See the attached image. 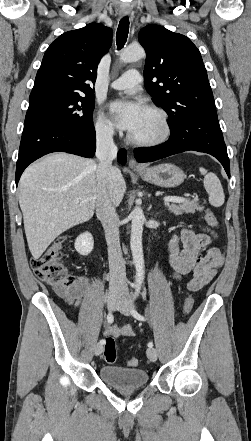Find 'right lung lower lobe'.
Instances as JSON below:
<instances>
[{"label":"right lung lower lobe","mask_w":251,"mask_h":441,"mask_svg":"<svg viewBox=\"0 0 251 441\" xmlns=\"http://www.w3.org/2000/svg\"><path fill=\"white\" fill-rule=\"evenodd\" d=\"M96 150L95 129L76 130L37 114H26L16 165V185L25 168L36 159L52 152H67L87 158ZM118 161L126 162V151L118 152Z\"/></svg>","instance_id":"1"}]
</instances>
